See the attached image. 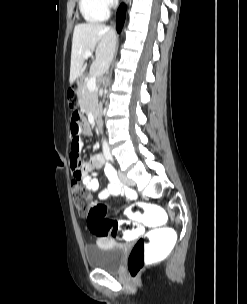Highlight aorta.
Masks as SVG:
<instances>
[{"instance_id": "762f6f07", "label": "aorta", "mask_w": 247, "mask_h": 304, "mask_svg": "<svg viewBox=\"0 0 247 304\" xmlns=\"http://www.w3.org/2000/svg\"><path fill=\"white\" fill-rule=\"evenodd\" d=\"M102 146H103V150L104 151H108L109 150L108 143H107L106 139H103Z\"/></svg>"}]
</instances>
